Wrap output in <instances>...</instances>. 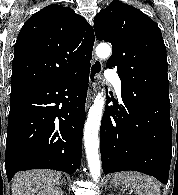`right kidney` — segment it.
<instances>
[{"label": "right kidney", "mask_w": 178, "mask_h": 195, "mask_svg": "<svg viewBox=\"0 0 178 195\" xmlns=\"http://www.w3.org/2000/svg\"><path fill=\"white\" fill-rule=\"evenodd\" d=\"M36 195H63V191L58 187H48L39 191Z\"/></svg>", "instance_id": "ca27d5eb"}]
</instances>
